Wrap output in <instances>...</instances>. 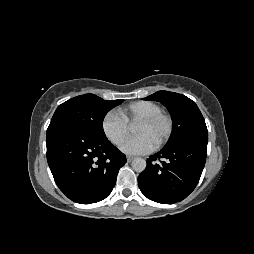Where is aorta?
<instances>
[{
    "label": "aorta",
    "instance_id": "aorta-1",
    "mask_svg": "<svg viewBox=\"0 0 254 254\" xmlns=\"http://www.w3.org/2000/svg\"><path fill=\"white\" fill-rule=\"evenodd\" d=\"M146 165H147L146 160L140 157L135 158L131 163L133 170L139 173L145 170Z\"/></svg>",
    "mask_w": 254,
    "mask_h": 254
}]
</instances>
